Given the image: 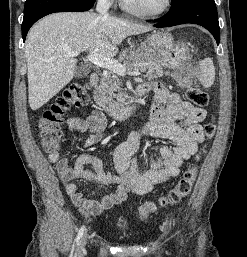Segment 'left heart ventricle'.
<instances>
[{"instance_id": "b2bd125f", "label": "left heart ventricle", "mask_w": 247, "mask_h": 257, "mask_svg": "<svg viewBox=\"0 0 247 257\" xmlns=\"http://www.w3.org/2000/svg\"><path fill=\"white\" fill-rule=\"evenodd\" d=\"M134 8L155 11L162 7L164 0H126Z\"/></svg>"}]
</instances>
